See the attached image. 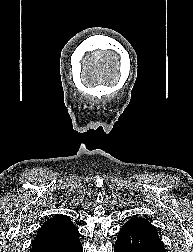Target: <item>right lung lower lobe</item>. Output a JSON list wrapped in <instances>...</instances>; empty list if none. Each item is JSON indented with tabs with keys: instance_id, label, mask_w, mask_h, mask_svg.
Returning a JSON list of instances; mask_svg holds the SVG:
<instances>
[{
	"instance_id": "98d812e1",
	"label": "right lung lower lobe",
	"mask_w": 193,
	"mask_h": 252,
	"mask_svg": "<svg viewBox=\"0 0 193 252\" xmlns=\"http://www.w3.org/2000/svg\"><path fill=\"white\" fill-rule=\"evenodd\" d=\"M30 252H83V248L76 229L54 240L33 245Z\"/></svg>"
}]
</instances>
